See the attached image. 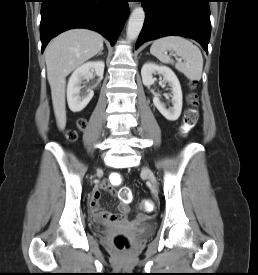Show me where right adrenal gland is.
<instances>
[{
    "mask_svg": "<svg viewBox=\"0 0 258 275\" xmlns=\"http://www.w3.org/2000/svg\"><path fill=\"white\" fill-rule=\"evenodd\" d=\"M103 49L97 54V55H102L103 54Z\"/></svg>",
    "mask_w": 258,
    "mask_h": 275,
    "instance_id": "obj_1",
    "label": "right adrenal gland"
}]
</instances>
